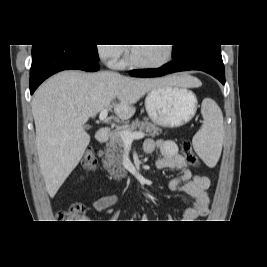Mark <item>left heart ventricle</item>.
<instances>
[{
	"label": "left heart ventricle",
	"mask_w": 267,
	"mask_h": 267,
	"mask_svg": "<svg viewBox=\"0 0 267 267\" xmlns=\"http://www.w3.org/2000/svg\"><path fill=\"white\" fill-rule=\"evenodd\" d=\"M132 54L137 62L156 63L162 61L167 54V48L164 44L154 46H134Z\"/></svg>",
	"instance_id": "left-heart-ventricle-1"
}]
</instances>
